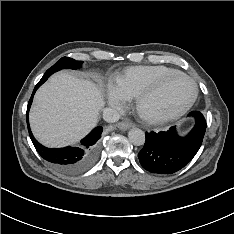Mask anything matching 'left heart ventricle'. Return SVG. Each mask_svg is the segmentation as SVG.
<instances>
[{"label": "left heart ventricle", "instance_id": "b2bd125f", "mask_svg": "<svg viewBox=\"0 0 234 234\" xmlns=\"http://www.w3.org/2000/svg\"><path fill=\"white\" fill-rule=\"evenodd\" d=\"M193 94V86L183 77H174L147 103L149 111H172L185 105Z\"/></svg>", "mask_w": 234, "mask_h": 234}]
</instances>
